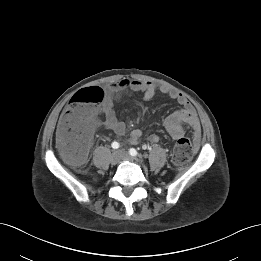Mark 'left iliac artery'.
<instances>
[{"instance_id":"44dca946","label":"left iliac artery","mask_w":261,"mask_h":261,"mask_svg":"<svg viewBox=\"0 0 261 261\" xmlns=\"http://www.w3.org/2000/svg\"><path fill=\"white\" fill-rule=\"evenodd\" d=\"M129 153H130V155H132V156H137V155H138V152H137L136 149H134V148H131V149L129 150Z\"/></svg>"}]
</instances>
